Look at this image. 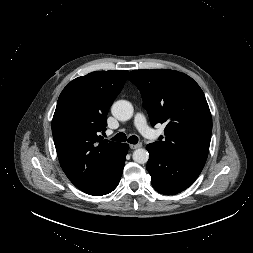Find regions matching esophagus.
Returning <instances> with one entry per match:
<instances>
[{
    "label": "esophagus",
    "mask_w": 253,
    "mask_h": 253,
    "mask_svg": "<svg viewBox=\"0 0 253 253\" xmlns=\"http://www.w3.org/2000/svg\"><path fill=\"white\" fill-rule=\"evenodd\" d=\"M140 147H142V144H141V143H138V144H131V145H130V148H131V149H137V148H140Z\"/></svg>",
    "instance_id": "obj_1"
}]
</instances>
